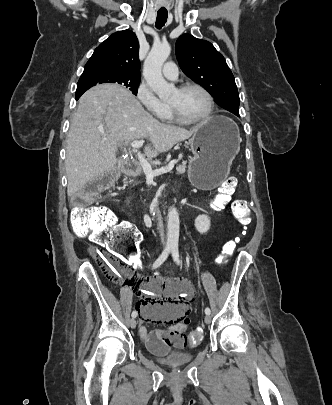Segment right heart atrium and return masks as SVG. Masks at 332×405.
I'll return each instance as SVG.
<instances>
[{"label": "right heart atrium", "mask_w": 332, "mask_h": 405, "mask_svg": "<svg viewBox=\"0 0 332 405\" xmlns=\"http://www.w3.org/2000/svg\"><path fill=\"white\" fill-rule=\"evenodd\" d=\"M136 97L145 110L154 117L163 118L167 112V105L160 101L151 88L141 83L137 89Z\"/></svg>", "instance_id": "d8ad5b80"}]
</instances>
